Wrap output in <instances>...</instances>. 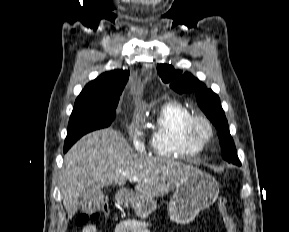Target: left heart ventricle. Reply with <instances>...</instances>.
I'll use <instances>...</instances> for the list:
<instances>
[{
    "label": "left heart ventricle",
    "instance_id": "obj_1",
    "mask_svg": "<svg viewBox=\"0 0 289 232\" xmlns=\"http://www.w3.org/2000/svg\"><path fill=\"white\" fill-rule=\"evenodd\" d=\"M197 132L200 137H205L207 135V130L204 126H200Z\"/></svg>",
    "mask_w": 289,
    "mask_h": 232
}]
</instances>
